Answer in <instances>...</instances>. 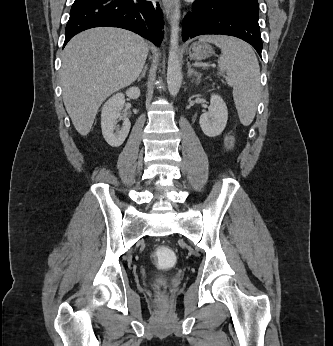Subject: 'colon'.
I'll use <instances>...</instances> for the list:
<instances>
[{
	"label": "colon",
	"instance_id": "colon-1",
	"mask_svg": "<svg viewBox=\"0 0 333 346\" xmlns=\"http://www.w3.org/2000/svg\"><path fill=\"white\" fill-rule=\"evenodd\" d=\"M234 142L232 135H228L226 138V143L231 146ZM156 256L153 259L155 264V271H171V268H175V250L169 249L165 244H160L156 250ZM167 295L166 283L159 280L156 285V309L158 311H163L166 307L165 299Z\"/></svg>",
	"mask_w": 333,
	"mask_h": 346
}]
</instances>
